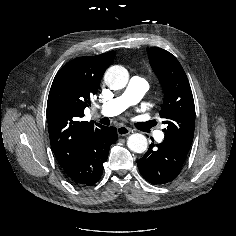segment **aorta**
<instances>
[{"label":"aorta","instance_id":"762f6f07","mask_svg":"<svg viewBox=\"0 0 236 236\" xmlns=\"http://www.w3.org/2000/svg\"><path fill=\"white\" fill-rule=\"evenodd\" d=\"M104 80L110 89L119 90L127 85L129 73L122 66H112L106 71ZM127 146L135 153H143L148 147L147 138L139 133L132 134L128 137Z\"/></svg>","mask_w":236,"mask_h":236}]
</instances>
